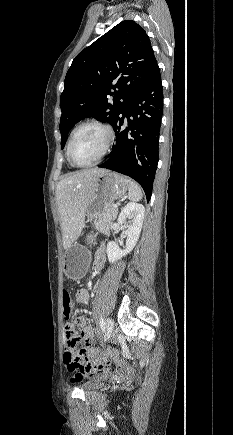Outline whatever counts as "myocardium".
I'll use <instances>...</instances> for the list:
<instances>
[{"mask_svg": "<svg viewBox=\"0 0 233 435\" xmlns=\"http://www.w3.org/2000/svg\"><path fill=\"white\" fill-rule=\"evenodd\" d=\"M87 126H96V127H99L100 129H102L106 135V141H105V144H104L101 152L99 153V155L97 156V158L95 160H93L92 162L86 163V164H78L72 158L71 147H72V143H73L74 137L77 134V132L79 130H81L82 128L87 127ZM113 140H114V132H113L110 125H108L107 123H105L101 120H98V119L85 120V121L79 123L72 130V132L70 134L69 141L67 144V149H66L67 158H68L69 162L71 163V165H73L74 167H78V168L92 167L94 165H97L105 157V155L108 153V151L111 147Z\"/></svg>", "mask_w": 233, "mask_h": 435, "instance_id": "obj_1", "label": "myocardium"}]
</instances>
